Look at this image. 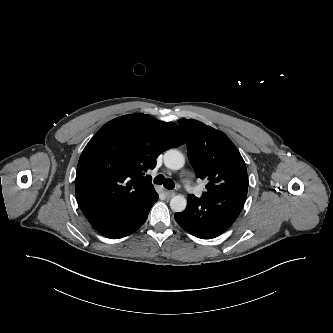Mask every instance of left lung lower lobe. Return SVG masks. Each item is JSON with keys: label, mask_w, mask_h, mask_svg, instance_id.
<instances>
[{"label": "left lung lower lobe", "mask_w": 333, "mask_h": 333, "mask_svg": "<svg viewBox=\"0 0 333 333\" xmlns=\"http://www.w3.org/2000/svg\"><path fill=\"white\" fill-rule=\"evenodd\" d=\"M248 188L228 187L197 198L188 197L187 207L176 213V222L188 233L212 239L225 232L239 216Z\"/></svg>", "instance_id": "0a47b994"}]
</instances>
